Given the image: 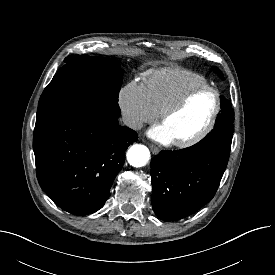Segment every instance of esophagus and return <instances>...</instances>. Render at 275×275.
Here are the masks:
<instances>
[{
	"instance_id": "34e87169",
	"label": "esophagus",
	"mask_w": 275,
	"mask_h": 275,
	"mask_svg": "<svg viewBox=\"0 0 275 275\" xmlns=\"http://www.w3.org/2000/svg\"><path fill=\"white\" fill-rule=\"evenodd\" d=\"M149 148L151 149L153 154H158L159 153V149L155 145L149 144Z\"/></svg>"
}]
</instances>
